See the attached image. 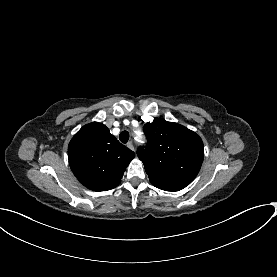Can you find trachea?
<instances>
[{
  "label": "trachea",
  "instance_id": "3493384b",
  "mask_svg": "<svg viewBox=\"0 0 277 277\" xmlns=\"http://www.w3.org/2000/svg\"><path fill=\"white\" fill-rule=\"evenodd\" d=\"M129 132L128 131H122L119 135V139L122 143H127L129 140Z\"/></svg>",
  "mask_w": 277,
  "mask_h": 277
}]
</instances>
